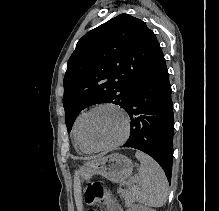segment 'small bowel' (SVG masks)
Returning <instances> with one entry per match:
<instances>
[{"mask_svg":"<svg viewBox=\"0 0 219 211\" xmlns=\"http://www.w3.org/2000/svg\"><path fill=\"white\" fill-rule=\"evenodd\" d=\"M86 199L89 204L100 202L104 204L107 211H122L121 208L114 202L112 195L109 192L89 190L86 194ZM94 211V210H89Z\"/></svg>","mask_w":219,"mask_h":211,"instance_id":"1","label":"small bowel"}]
</instances>
